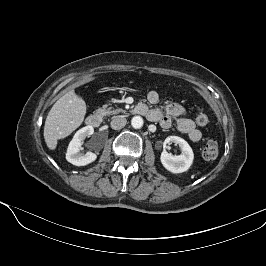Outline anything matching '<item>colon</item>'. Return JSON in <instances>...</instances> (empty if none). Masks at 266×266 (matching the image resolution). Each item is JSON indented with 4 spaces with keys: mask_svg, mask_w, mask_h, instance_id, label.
Wrapping results in <instances>:
<instances>
[{
    "mask_svg": "<svg viewBox=\"0 0 266 266\" xmlns=\"http://www.w3.org/2000/svg\"><path fill=\"white\" fill-rule=\"evenodd\" d=\"M195 121L199 126H205L209 122L208 115L199 109L195 115ZM219 153L218 142L215 139H209L203 146L202 156L206 160H214L217 158Z\"/></svg>",
    "mask_w": 266,
    "mask_h": 266,
    "instance_id": "5ec220e1",
    "label": "colon"
}]
</instances>
